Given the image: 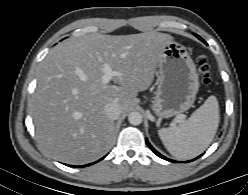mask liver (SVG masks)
Returning <instances> with one entry per match:
<instances>
[{"mask_svg":"<svg viewBox=\"0 0 248 195\" xmlns=\"http://www.w3.org/2000/svg\"><path fill=\"white\" fill-rule=\"evenodd\" d=\"M172 36L150 31L131 35L89 34L56 45L42 61L31 115L37 139L55 159L85 164L112 146L114 123L104 113L115 101L130 110L138 92L154 80L161 52ZM122 73L103 84V66Z\"/></svg>","mask_w":248,"mask_h":195,"instance_id":"6515ba94","label":"liver"}]
</instances>
